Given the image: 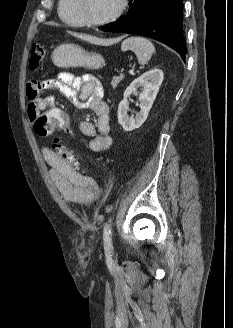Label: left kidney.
I'll return each mask as SVG.
<instances>
[{
	"instance_id": "left-kidney-1",
	"label": "left kidney",
	"mask_w": 233,
	"mask_h": 328,
	"mask_svg": "<svg viewBox=\"0 0 233 328\" xmlns=\"http://www.w3.org/2000/svg\"><path fill=\"white\" fill-rule=\"evenodd\" d=\"M163 78V71L155 68L142 74L126 88L123 100L118 106V122L125 131L137 129L146 121ZM138 88H141L139 94L140 111L136 113L135 117H129L127 113L129 106L128 98L133 92H136Z\"/></svg>"
}]
</instances>
